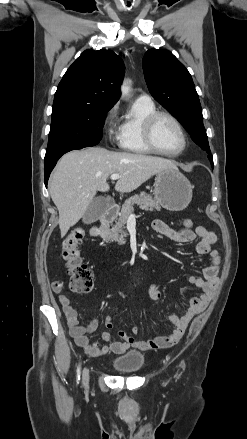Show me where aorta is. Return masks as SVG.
I'll list each match as a JSON object with an SVG mask.
<instances>
[{
    "label": "aorta",
    "mask_w": 247,
    "mask_h": 439,
    "mask_svg": "<svg viewBox=\"0 0 247 439\" xmlns=\"http://www.w3.org/2000/svg\"><path fill=\"white\" fill-rule=\"evenodd\" d=\"M130 84H131V81L128 79L123 81V84L121 85L122 96H127L130 93V90H131Z\"/></svg>",
    "instance_id": "aorta-1"
}]
</instances>
